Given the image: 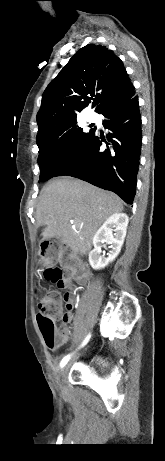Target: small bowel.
<instances>
[{
	"label": "small bowel",
	"instance_id": "obj_1",
	"mask_svg": "<svg viewBox=\"0 0 165 461\" xmlns=\"http://www.w3.org/2000/svg\"><path fill=\"white\" fill-rule=\"evenodd\" d=\"M80 256H63L62 260H59L58 265L61 268L62 279L66 281L67 286L71 287L69 280L78 278L80 283L87 279L85 274L81 271H88V263H80ZM61 298L63 302V308L68 309L66 313H61L62 327L59 333V341L54 349H58L68 343L71 336V331L68 324L73 319L72 309H74L76 301L74 298L73 291H61Z\"/></svg>",
	"mask_w": 165,
	"mask_h": 461
}]
</instances>
